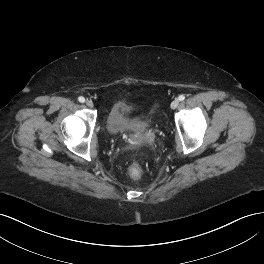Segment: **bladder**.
<instances>
[{"instance_id": "31cf9c89", "label": "bladder", "mask_w": 264, "mask_h": 264, "mask_svg": "<svg viewBox=\"0 0 264 264\" xmlns=\"http://www.w3.org/2000/svg\"><path fill=\"white\" fill-rule=\"evenodd\" d=\"M134 107L120 101L109 110L106 118L107 128L111 133H124L142 128L140 119L132 116Z\"/></svg>"}]
</instances>
